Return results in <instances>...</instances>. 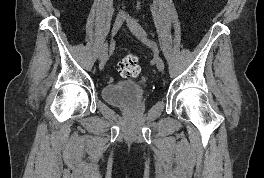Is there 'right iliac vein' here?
Masks as SVG:
<instances>
[{
    "label": "right iliac vein",
    "mask_w": 264,
    "mask_h": 178,
    "mask_svg": "<svg viewBox=\"0 0 264 178\" xmlns=\"http://www.w3.org/2000/svg\"><path fill=\"white\" fill-rule=\"evenodd\" d=\"M124 20H125V16L123 14H118L116 16V19H115V22H114V25L112 28V35H115L118 32V30L121 28ZM107 60H108V56H107V54H105L100 60V63H99L100 69L104 68Z\"/></svg>",
    "instance_id": "1"
}]
</instances>
